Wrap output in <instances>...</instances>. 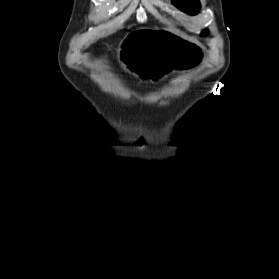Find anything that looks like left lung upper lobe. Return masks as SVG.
Masks as SVG:
<instances>
[{"mask_svg":"<svg viewBox=\"0 0 279 279\" xmlns=\"http://www.w3.org/2000/svg\"><path fill=\"white\" fill-rule=\"evenodd\" d=\"M173 3L188 14H197L200 10L199 0H173Z\"/></svg>","mask_w":279,"mask_h":279,"instance_id":"obj_1","label":"left lung upper lobe"}]
</instances>
